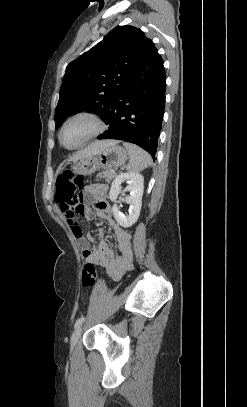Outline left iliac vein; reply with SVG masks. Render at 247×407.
Segmentation results:
<instances>
[{
    "instance_id": "1",
    "label": "left iliac vein",
    "mask_w": 247,
    "mask_h": 407,
    "mask_svg": "<svg viewBox=\"0 0 247 407\" xmlns=\"http://www.w3.org/2000/svg\"><path fill=\"white\" fill-rule=\"evenodd\" d=\"M81 332H82V326L80 325L76 328V330L73 332V334L71 336L70 342H71L72 347L76 346V344L81 336Z\"/></svg>"
}]
</instances>
